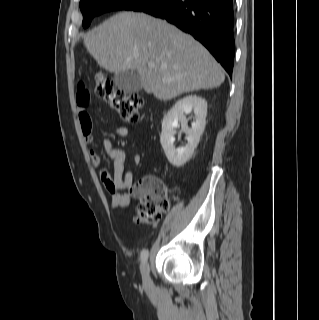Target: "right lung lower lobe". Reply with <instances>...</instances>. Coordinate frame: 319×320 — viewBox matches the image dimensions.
<instances>
[{"instance_id": "98d812e1", "label": "right lung lower lobe", "mask_w": 319, "mask_h": 320, "mask_svg": "<svg viewBox=\"0 0 319 320\" xmlns=\"http://www.w3.org/2000/svg\"><path fill=\"white\" fill-rule=\"evenodd\" d=\"M136 11L166 19L193 35L232 76L235 54L233 0H153Z\"/></svg>"}]
</instances>
